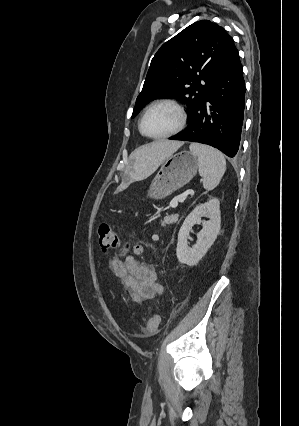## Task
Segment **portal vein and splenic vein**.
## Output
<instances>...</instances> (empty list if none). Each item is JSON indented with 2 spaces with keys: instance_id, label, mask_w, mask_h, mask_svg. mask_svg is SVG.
<instances>
[{
  "instance_id": "portal-vein-and-splenic-vein-1",
  "label": "portal vein and splenic vein",
  "mask_w": 299,
  "mask_h": 426,
  "mask_svg": "<svg viewBox=\"0 0 299 426\" xmlns=\"http://www.w3.org/2000/svg\"><path fill=\"white\" fill-rule=\"evenodd\" d=\"M178 201H179V198H175V199H173V200L170 202V206H171L172 208L177 207V206H178Z\"/></svg>"
}]
</instances>
